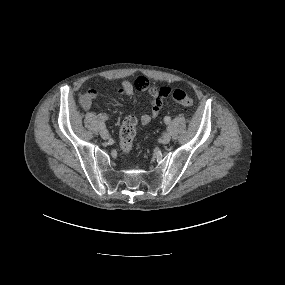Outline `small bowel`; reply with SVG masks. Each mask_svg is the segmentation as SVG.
<instances>
[{"label":"small bowel","instance_id":"obj_1","mask_svg":"<svg viewBox=\"0 0 285 285\" xmlns=\"http://www.w3.org/2000/svg\"><path fill=\"white\" fill-rule=\"evenodd\" d=\"M135 90L147 92L151 97L149 111L143 114L139 119L140 126H146L159 115L163 107L164 99L171 94L172 90L169 87L159 88L151 84L148 80L144 88H137L136 84L133 86L129 81H123L119 87V92L126 96H132ZM97 95L98 93L95 89L88 90L80 99L81 106L86 110L90 109ZM98 119L104 123L108 121L109 116L107 113H99Z\"/></svg>","mask_w":285,"mask_h":285}]
</instances>
